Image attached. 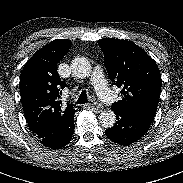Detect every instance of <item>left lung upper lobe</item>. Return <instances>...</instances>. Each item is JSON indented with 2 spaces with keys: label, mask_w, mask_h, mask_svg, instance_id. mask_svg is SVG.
Instances as JSON below:
<instances>
[{
  "label": "left lung upper lobe",
  "mask_w": 183,
  "mask_h": 183,
  "mask_svg": "<svg viewBox=\"0 0 183 183\" xmlns=\"http://www.w3.org/2000/svg\"><path fill=\"white\" fill-rule=\"evenodd\" d=\"M111 79L121 87L123 98L111 109L134 114L152 122L162 86L156 62L139 46L128 40L105 38L98 41Z\"/></svg>",
  "instance_id": "obj_1"
}]
</instances>
